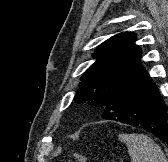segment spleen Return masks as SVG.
Segmentation results:
<instances>
[{
  "label": "spleen",
  "instance_id": "obj_1",
  "mask_svg": "<svg viewBox=\"0 0 168 162\" xmlns=\"http://www.w3.org/2000/svg\"><path fill=\"white\" fill-rule=\"evenodd\" d=\"M126 144L132 162H167L162 149L144 134H120Z\"/></svg>",
  "mask_w": 168,
  "mask_h": 162
}]
</instances>
